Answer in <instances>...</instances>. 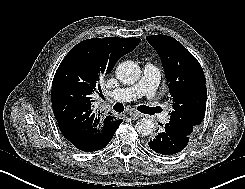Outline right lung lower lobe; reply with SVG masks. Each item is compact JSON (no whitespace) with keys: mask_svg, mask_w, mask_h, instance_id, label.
I'll use <instances>...</instances> for the list:
<instances>
[{"mask_svg":"<svg viewBox=\"0 0 245 189\" xmlns=\"http://www.w3.org/2000/svg\"><path fill=\"white\" fill-rule=\"evenodd\" d=\"M110 116L99 115L94 120L92 132L86 136L71 138L70 141L81 151L93 152L104 148L112 139L115 131L122 122V119L110 120Z\"/></svg>","mask_w":245,"mask_h":189,"instance_id":"right-lung-lower-lobe-1","label":"right lung lower lobe"}]
</instances>
